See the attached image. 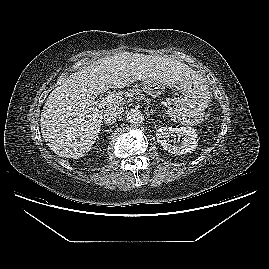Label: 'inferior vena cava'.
Wrapping results in <instances>:
<instances>
[{
    "mask_svg": "<svg viewBox=\"0 0 269 269\" xmlns=\"http://www.w3.org/2000/svg\"><path fill=\"white\" fill-rule=\"evenodd\" d=\"M123 112L124 109L122 107L115 106L107 108L104 112L103 120L107 125H112L117 122Z\"/></svg>",
    "mask_w": 269,
    "mask_h": 269,
    "instance_id": "inferior-vena-cava-1",
    "label": "inferior vena cava"
}]
</instances>
